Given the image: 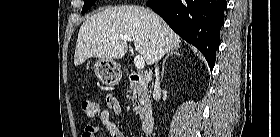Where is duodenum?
<instances>
[{
  "instance_id": "duodenum-1",
  "label": "duodenum",
  "mask_w": 280,
  "mask_h": 137,
  "mask_svg": "<svg viewBox=\"0 0 280 137\" xmlns=\"http://www.w3.org/2000/svg\"><path fill=\"white\" fill-rule=\"evenodd\" d=\"M127 80L129 83L135 84V83L139 82L140 76L138 73L133 72L127 77ZM154 124H155L154 117L149 116L144 119V121L142 123V130L146 133H151L153 131Z\"/></svg>"
}]
</instances>
